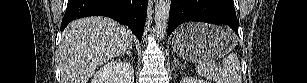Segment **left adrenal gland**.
<instances>
[{"mask_svg":"<svg viewBox=\"0 0 307 83\" xmlns=\"http://www.w3.org/2000/svg\"><path fill=\"white\" fill-rule=\"evenodd\" d=\"M173 59H174V66H175V68H178V66H180L181 68H185V65L180 64V62L177 61V59L175 58V56H174Z\"/></svg>","mask_w":307,"mask_h":83,"instance_id":"1","label":"left adrenal gland"}]
</instances>
